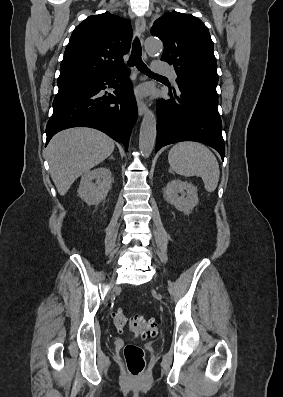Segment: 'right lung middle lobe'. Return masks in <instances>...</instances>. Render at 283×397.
<instances>
[{
    "instance_id": "right-lung-middle-lobe-1",
    "label": "right lung middle lobe",
    "mask_w": 283,
    "mask_h": 397,
    "mask_svg": "<svg viewBox=\"0 0 283 397\" xmlns=\"http://www.w3.org/2000/svg\"><path fill=\"white\" fill-rule=\"evenodd\" d=\"M60 86H64V85L58 84V87H60Z\"/></svg>"
}]
</instances>
